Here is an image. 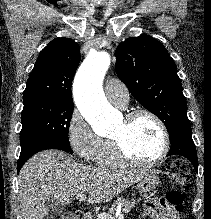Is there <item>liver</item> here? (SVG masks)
I'll return each instance as SVG.
<instances>
[{
	"label": "liver",
	"instance_id": "6515ba94",
	"mask_svg": "<svg viewBox=\"0 0 211 219\" xmlns=\"http://www.w3.org/2000/svg\"><path fill=\"white\" fill-rule=\"evenodd\" d=\"M144 172L84 166L62 151L39 152L24 164L18 176L23 218L44 219L49 198L69 204L74 195L88 192L90 204L109 202L136 183Z\"/></svg>",
	"mask_w": 211,
	"mask_h": 219
}]
</instances>
